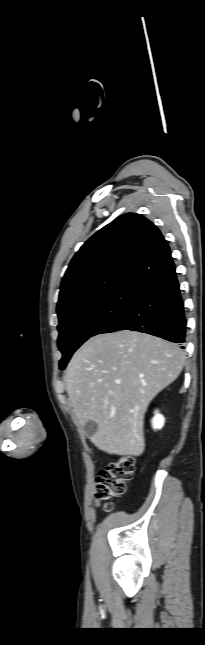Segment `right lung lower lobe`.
Listing matches in <instances>:
<instances>
[{"label":"right lung lower lobe","instance_id":"98d812e1","mask_svg":"<svg viewBox=\"0 0 205 645\" xmlns=\"http://www.w3.org/2000/svg\"><path fill=\"white\" fill-rule=\"evenodd\" d=\"M120 330L138 331L185 343L186 317L175 265L141 284L135 303L101 333Z\"/></svg>","mask_w":205,"mask_h":645}]
</instances>
